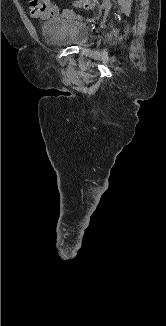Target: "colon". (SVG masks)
Returning <instances> with one entry per match:
<instances>
[{
    "label": "colon",
    "mask_w": 166,
    "mask_h": 326,
    "mask_svg": "<svg viewBox=\"0 0 166 326\" xmlns=\"http://www.w3.org/2000/svg\"><path fill=\"white\" fill-rule=\"evenodd\" d=\"M73 5L84 9H89L91 7L89 0H79L78 3Z\"/></svg>",
    "instance_id": "colon-1"
}]
</instances>
